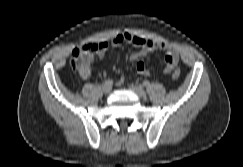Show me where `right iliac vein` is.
Masks as SVG:
<instances>
[{
	"instance_id": "1",
	"label": "right iliac vein",
	"mask_w": 243,
	"mask_h": 167,
	"mask_svg": "<svg viewBox=\"0 0 243 167\" xmlns=\"http://www.w3.org/2000/svg\"><path fill=\"white\" fill-rule=\"evenodd\" d=\"M102 91L105 93V94H109L111 92V86L109 85H103L102 87Z\"/></svg>"
}]
</instances>
